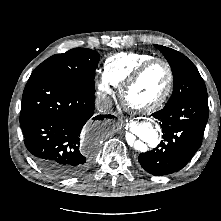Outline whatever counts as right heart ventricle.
Segmentation results:
<instances>
[{"instance_id": "right-heart-ventricle-1", "label": "right heart ventricle", "mask_w": 221, "mask_h": 221, "mask_svg": "<svg viewBox=\"0 0 221 221\" xmlns=\"http://www.w3.org/2000/svg\"><path fill=\"white\" fill-rule=\"evenodd\" d=\"M155 58L145 52H124L109 57L104 65V74L115 86H120L142 63Z\"/></svg>"}]
</instances>
